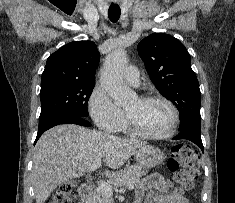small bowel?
Instances as JSON below:
<instances>
[{
    "mask_svg": "<svg viewBox=\"0 0 235 203\" xmlns=\"http://www.w3.org/2000/svg\"><path fill=\"white\" fill-rule=\"evenodd\" d=\"M145 203H189L183 194L170 190L167 181L160 174H151L143 178L136 188L135 198Z\"/></svg>",
    "mask_w": 235,
    "mask_h": 203,
    "instance_id": "1",
    "label": "small bowel"
}]
</instances>
